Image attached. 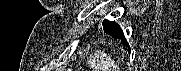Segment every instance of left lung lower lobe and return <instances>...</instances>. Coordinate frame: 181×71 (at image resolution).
Wrapping results in <instances>:
<instances>
[{
    "mask_svg": "<svg viewBox=\"0 0 181 71\" xmlns=\"http://www.w3.org/2000/svg\"><path fill=\"white\" fill-rule=\"evenodd\" d=\"M103 28L104 31H106L109 35H112L116 39H121V43L124 44V48L127 49L129 52L131 51L126 39L124 38L123 31L116 23L104 20Z\"/></svg>",
    "mask_w": 181,
    "mask_h": 71,
    "instance_id": "obj_1",
    "label": "left lung lower lobe"
}]
</instances>
